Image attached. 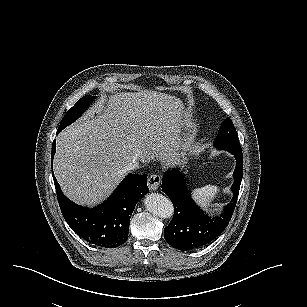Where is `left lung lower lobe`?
I'll use <instances>...</instances> for the list:
<instances>
[{"mask_svg": "<svg viewBox=\"0 0 307 307\" xmlns=\"http://www.w3.org/2000/svg\"><path fill=\"white\" fill-rule=\"evenodd\" d=\"M232 154L237 162L233 173L235 180L231 187L233 199L217 218L211 219L195 205L180 171L173 169L165 173L162 190L173 203L174 217L165 227L164 237L173 248L182 251L202 248L215 240L227 227L236 206L243 175L242 152Z\"/></svg>", "mask_w": 307, "mask_h": 307, "instance_id": "0a47b994", "label": "left lung lower lobe"}]
</instances>
